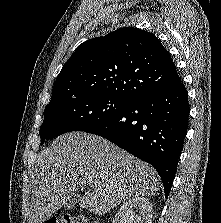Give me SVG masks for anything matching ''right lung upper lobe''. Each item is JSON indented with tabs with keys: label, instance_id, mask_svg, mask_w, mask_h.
Listing matches in <instances>:
<instances>
[{
	"label": "right lung upper lobe",
	"instance_id": "1",
	"mask_svg": "<svg viewBox=\"0 0 221 223\" xmlns=\"http://www.w3.org/2000/svg\"><path fill=\"white\" fill-rule=\"evenodd\" d=\"M180 82L169 52L156 36L120 28L76 48L57 76L50 103L81 95L133 101Z\"/></svg>",
	"mask_w": 221,
	"mask_h": 223
}]
</instances>
